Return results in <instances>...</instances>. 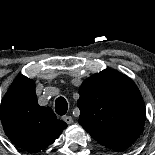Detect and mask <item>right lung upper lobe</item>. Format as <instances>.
<instances>
[{"label": "right lung upper lobe", "instance_id": "cb5924a9", "mask_svg": "<svg viewBox=\"0 0 155 155\" xmlns=\"http://www.w3.org/2000/svg\"><path fill=\"white\" fill-rule=\"evenodd\" d=\"M0 118L10 141L30 152L45 149L67 127L51 108L38 105L35 83L23 75L16 78L5 94Z\"/></svg>", "mask_w": 155, "mask_h": 155}]
</instances>
